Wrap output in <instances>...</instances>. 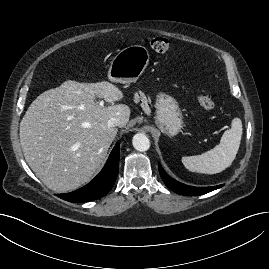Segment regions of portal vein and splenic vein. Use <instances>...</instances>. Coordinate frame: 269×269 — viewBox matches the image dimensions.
<instances>
[{"label": "portal vein and splenic vein", "instance_id": "portal-vein-and-splenic-vein-1", "mask_svg": "<svg viewBox=\"0 0 269 269\" xmlns=\"http://www.w3.org/2000/svg\"><path fill=\"white\" fill-rule=\"evenodd\" d=\"M103 104H104L103 101H100V102H99V105H100V106H103Z\"/></svg>", "mask_w": 269, "mask_h": 269}]
</instances>
